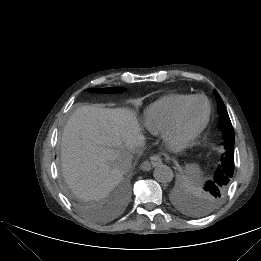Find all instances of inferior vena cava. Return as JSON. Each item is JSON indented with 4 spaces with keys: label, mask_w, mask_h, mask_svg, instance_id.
I'll return each instance as SVG.
<instances>
[{
    "label": "inferior vena cava",
    "mask_w": 261,
    "mask_h": 261,
    "mask_svg": "<svg viewBox=\"0 0 261 261\" xmlns=\"http://www.w3.org/2000/svg\"><path fill=\"white\" fill-rule=\"evenodd\" d=\"M133 161L132 154H124L118 158V167L123 172L126 173L131 169Z\"/></svg>",
    "instance_id": "1"
}]
</instances>
